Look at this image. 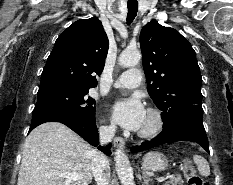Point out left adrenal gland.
<instances>
[{
  "label": "left adrenal gland",
  "instance_id": "a2214340",
  "mask_svg": "<svg viewBox=\"0 0 233 185\" xmlns=\"http://www.w3.org/2000/svg\"><path fill=\"white\" fill-rule=\"evenodd\" d=\"M142 178H143L144 185H149V182L151 181V179L146 173L142 174Z\"/></svg>",
  "mask_w": 233,
  "mask_h": 185
}]
</instances>
